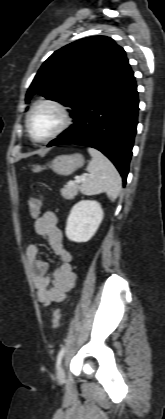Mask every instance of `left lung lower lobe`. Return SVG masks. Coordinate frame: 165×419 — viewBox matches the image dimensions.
<instances>
[{
    "label": "left lung lower lobe",
    "instance_id": "1",
    "mask_svg": "<svg viewBox=\"0 0 165 419\" xmlns=\"http://www.w3.org/2000/svg\"><path fill=\"white\" fill-rule=\"evenodd\" d=\"M138 92L130 65L114 76L74 115V124L47 146L78 144L101 151L116 166L123 183L136 134Z\"/></svg>",
    "mask_w": 165,
    "mask_h": 419
}]
</instances>
